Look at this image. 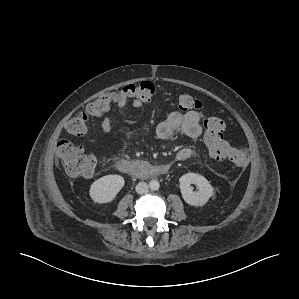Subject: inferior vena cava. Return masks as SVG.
<instances>
[{
    "label": "inferior vena cava",
    "instance_id": "602c4592",
    "mask_svg": "<svg viewBox=\"0 0 299 299\" xmlns=\"http://www.w3.org/2000/svg\"><path fill=\"white\" fill-rule=\"evenodd\" d=\"M136 192L138 194H145L148 192L149 190V186L146 182H139L137 185H136V188H135Z\"/></svg>",
    "mask_w": 299,
    "mask_h": 299
}]
</instances>
